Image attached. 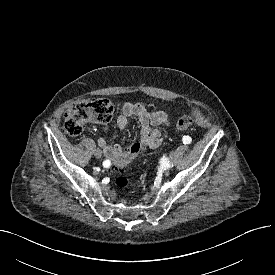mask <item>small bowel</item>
Returning <instances> with one entry per match:
<instances>
[{
	"label": "small bowel",
	"mask_w": 275,
	"mask_h": 275,
	"mask_svg": "<svg viewBox=\"0 0 275 275\" xmlns=\"http://www.w3.org/2000/svg\"><path fill=\"white\" fill-rule=\"evenodd\" d=\"M130 117H136L140 123V142L143 147L158 148L166 137V129L170 124L168 115L163 111L149 112L140 103H125L117 118V126L123 130L127 127ZM98 145L107 160L117 161L129 156L131 147L124 149L115 144L110 145L104 138L98 139Z\"/></svg>",
	"instance_id": "c3829d8e"
}]
</instances>
